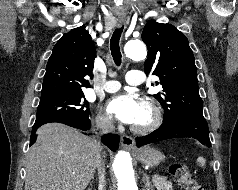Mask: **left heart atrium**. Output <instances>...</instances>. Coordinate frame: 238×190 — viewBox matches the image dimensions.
<instances>
[{
  "instance_id": "left-heart-atrium-1",
  "label": "left heart atrium",
  "mask_w": 238,
  "mask_h": 190,
  "mask_svg": "<svg viewBox=\"0 0 238 190\" xmlns=\"http://www.w3.org/2000/svg\"><path fill=\"white\" fill-rule=\"evenodd\" d=\"M140 102L132 94H121L112 98L107 111L120 122L133 124L138 116Z\"/></svg>"
}]
</instances>
